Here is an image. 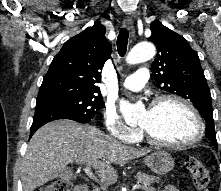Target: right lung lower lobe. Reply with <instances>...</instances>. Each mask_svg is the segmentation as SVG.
I'll use <instances>...</instances> for the list:
<instances>
[{
    "mask_svg": "<svg viewBox=\"0 0 221 191\" xmlns=\"http://www.w3.org/2000/svg\"><path fill=\"white\" fill-rule=\"evenodd\" d=\"M58 119H70L83 123L70 117L64 113L63 110L51 105L50 103L38 102L36 104L35 115L30 129V137L44 124Z\"/></svg>",
    "mask_w": 221,
    "mask_h": 191,
    "instance_id": "1",
    "label": "right lung lower lobe"
}]
</instances>
